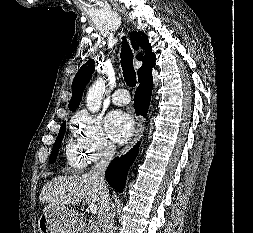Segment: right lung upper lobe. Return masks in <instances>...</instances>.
I'll use <instances>...</instances> for the list:
<instances>
[{"label": "right lung upper lobe", "instance_id": "cb5924a9", "mask_svg": "<svg viewBox=\"0 0 253 233\" xmlns=\"http://www.w3.org/2000/svg\"><path fill=\"white\" fill-rule=\"evenodd\" d=\"M130 38L132 47L135 50L142 49L145 51V55L142 53L136 55L138 60L143 61L142 67L138 70V78H140L146 72L151 71V68L155 65L156 57L151 50L148 37L144 33L132 32ZM94 69V61L89 60L75 75L72 83V97L68 105L71 111H75L79 106L85 86L91 79Z\"/></svg>", "mask_w": 253, "mask_h": 233}]
</instances>
